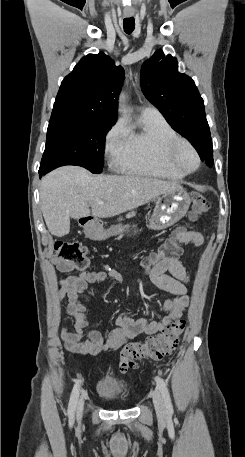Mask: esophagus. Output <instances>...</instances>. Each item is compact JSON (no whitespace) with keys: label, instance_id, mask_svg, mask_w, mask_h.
<instances>
[{"label":"esophagus","instance_id":"obj_1","mask_svg":"<svg viewBox=\"0 0 245 457\" xmlns=\"http://www.w3.org/2000/svg\"><path fill=\"white\" fill-rule=\"evenodd\" d=\"M134 15V12H131V13H124V16L125 17H132Z\"/></svg>","mask_w":245,"mask_h":457}]
</instances>
